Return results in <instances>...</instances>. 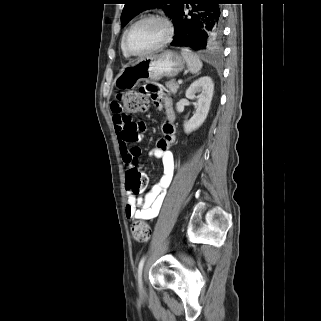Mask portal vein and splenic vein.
I'll return each instance as SVG.
<instances>
[{
	"instance_id": "18ae733b",
	"label": "portal vein and splenic vein",
	"mask_w": 321,
	"mask_h": 321,
	"mask_svg": "<svg viewBox=\"0 0 321 321\" xmlns=\"http://www.w3.org/2000/svg\"><path fill=\"white\" fill-rule=\"evenodd\" d=\"M182 83V80H178V84H181Z\"/></svg>"
}]
</instances>
